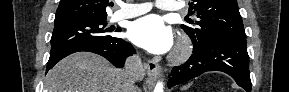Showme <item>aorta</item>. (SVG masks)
Instances as JSON below:
<instances>
[{
    "mask_svg": "<svg viewBox=\"0 0 289 92\" xmlns=\"http://www.w3.org/2000/svg\"><path fill=\"white\" fill-rule=\"evenodd\" d=\"M154 92H164L163 91V82H158L155 86Z\"/></svg>",
    "mask_w": 289,
    "mask_h": 92,
    "instance_id": "1",
    "label": "aorta"
}]
</instances>
